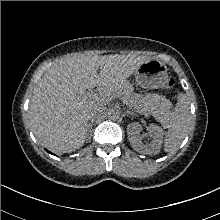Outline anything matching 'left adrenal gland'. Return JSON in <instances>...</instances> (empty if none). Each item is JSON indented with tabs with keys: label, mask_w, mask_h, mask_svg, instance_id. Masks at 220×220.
I'll use <instances>...</instances> for the list:
<instances>
[{
	"label": "left adrenal gland",
	"mask_w": 220,
	"mask_h": 220,
	"mask_svg": "<svg viewBox=\"0 0 220 220\" xmlns=\"http://www.w3.org/2000/svg\"><path fill=\"white\" fill-rule=\"evenodd\" d=\"M130 115H136L134 112L127 111Z\"/></svg>",
	"instance_id": "a2214340"
}]
</instances>
